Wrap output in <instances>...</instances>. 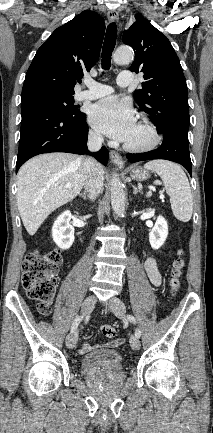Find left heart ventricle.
Wrapping results in <instances>:
<instances>
[{
    "mask_svg": "<svg viewBox=\"0 0 213 433\" xmlns=\"http://www.w3.org/2000/svg\"><path fill=\"white\" fill-rule=\"evenodd\" d=\"M150 139L149 133L139 123L136 124L130 137L125 141L126 144L139 146L148 142Z\"/></svg>",
    "mask_w": 213,
    "mask_h": 433,
    "instance_id": "obj_1",
    "label": "left heart ventricle"
}]
</instances>
